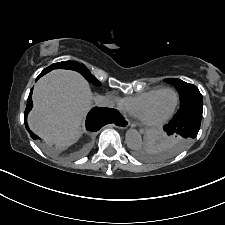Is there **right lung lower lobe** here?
<instances>
[{
  "instance_id": "right-lung-lower-lobe-1",
  "label": "right lung lower lobe",
  "mask_w": 225,
  "mask_h": 225,
  "mask_svg": "<svg viewBox=\"0 0 225 225\" xmlns=\"http://www.w3.org/2000/svg\"><path fill=\"white\" fill-rule=\"evenodd\" d=\"M49 69L45 68L41 74L37 77L36 80H38L40 77H42L43 75H45L46 73H48ZM32 91L33 89H31L28 100H27V106L25 109V117H24V122L26 125V129L28 130V132L30 133V136L35 140V139H39L38 136H36L32 131L29 130V127L27 126V115L29 113V111L31 110L33 103H32ZM117 115H119V113L114 110V109H109V108H98L95 107L93 108L86 119V128L89 131H97L99 130L103 125H105L106 123H108V121H110L113 118H116Z\"/></svg>"
}]
</instances>
